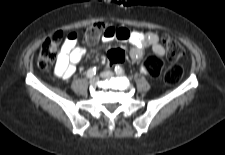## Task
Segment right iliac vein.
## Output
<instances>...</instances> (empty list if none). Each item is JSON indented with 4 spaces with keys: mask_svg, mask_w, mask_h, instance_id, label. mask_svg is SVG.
<instances>
[{
    "mask_svg": "<svg viewBox=\"0 0 225 155\" xmlns=\"http://www.w3.org/2000/svg\"><path fill=\"white\" fill-rule=\"evenodd\" d=\"M98 80H99V78H98L97 76L92 77V78L90 79V83H91V84H94V83H96Z\"/></svg>",
    "mask_w": 225,
    "mask_h": 155,
    "instance_id": "obj_1",
    "label": "right iliac vein"
}]
</instances>
